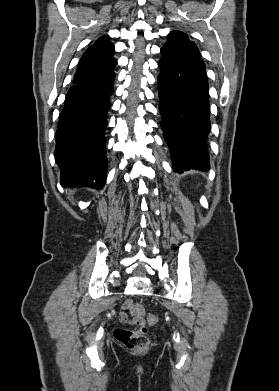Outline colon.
<instances>
[{
	"label": "colon",
	"instance_id": "obj_1",
	"mask_svg": "<svg viewBox=\"0 0 279 391\" xmlns=\"http://www.w3.org/2000/svg\"><path fill=\"white\" fill-rule=\"evenodd\" d=\"M157 316L150 314L147 317V322L153 325L157 322ZM147 328L142 327L138 330L129 328H118L114 332L117 341L124 345L127 349L135 351H145L149 346V339L146 336Z\"/></svg>",
	"mask_w": 279,
	"mask_h": 391
}]
</instances>
